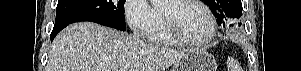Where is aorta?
<instances>
[{
    "label": "aorta",
    "mask_w": 301,
    "mask_h": 71,
    "mask_svg": "<svg viewBox=\"0 0 301 71\" xmlns=\"http://www.w3.org/2000/svg\"><path fill=\"white\" fill-rule=\"evenodd\" d=\"M150 2L155 6V7H161L164 6L168 0H150Z\"/></svg>",
    "instance_id": "obj_1"
}]
</instances>
